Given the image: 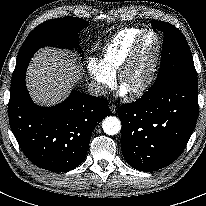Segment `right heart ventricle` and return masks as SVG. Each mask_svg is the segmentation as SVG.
Here are the masks:
<instances>
[{
	"mask_svg": "<svg viewBox=\"0 0 206 206\" xmlns=\"http://www.w3.org/2000/svg\"><path fill=\"white\" fill-rule=\"evenodd\" d=\"M144 31L141 28L120 30L104 47L101 59L97 62L108 74L114 77L123 61L131 52L136 40Z\"/></svg>",
	"mask_w": 206,
	"mask_h": 206,
	"instance_id": "obj_1",
	"label": "right heart ventricle"
}]
</instances>
